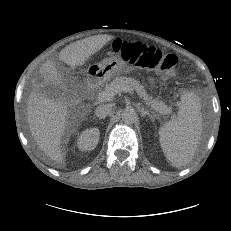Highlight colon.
<instances>
[{"label": "colon", "mask_w": 231, "mask_h": 231, "mask_svg": "<svg viewBox=\"0 0 231 231\" xmlns=\"http://www.w3.org/2000/svg\"><path fill=\"white\" fill-rule=\"evenodd\" d=\"M114 53L137 67L162 72L166 77L176 74L177 57L140 42L114 40L111 43Z\"/></svg>", "instance_id": "5ec220e1"}]
</instances>
